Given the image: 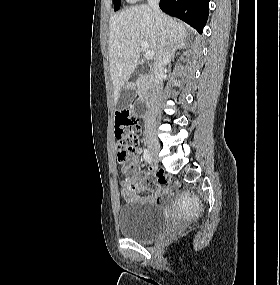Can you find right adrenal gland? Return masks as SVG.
<instances>
[{
    "label": "right adrenal gland",
    "mask_w": 280,
    "mask_h": 285,
    "mask_svg": "<svg viewBox=\"0 0 280 285\" xmlns=\"http://www.w3.org/2000/svg\"><path fill=\"white\" fill-rule=\"evenodd\" d=\"M183 46H184V43H183V41H181L173 47L172 53H171V60L174 59L176 51L181 49Z\"/></svg>",
    "instance_id": "right-adrenal-gland-1"
}]
</instances>
